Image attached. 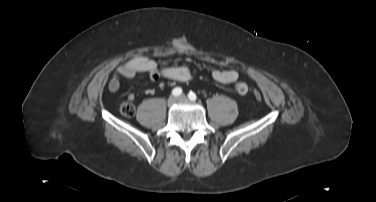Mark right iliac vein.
I'll use <instances>...</instances> for the list:
<instances>
[{
  "mask_svg": "<svg viewBox=\"0 0 376 202\" xmlns=\"http://www.w3.org/2000/svg\"><path fill=\"white\" fill-rule=\"evenodd\" d=\"M177 99L174 96L169 97L168 106L172 107L176 103Z\"/></svg>",
  "mask_w": 376,
  "mask_h": 202,
  "instance_id": "1",
  "label": "right iliac vein"
}]
</instances>
